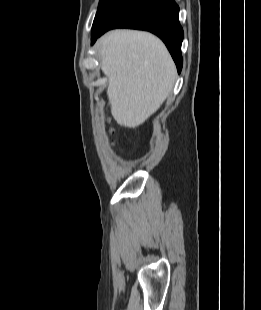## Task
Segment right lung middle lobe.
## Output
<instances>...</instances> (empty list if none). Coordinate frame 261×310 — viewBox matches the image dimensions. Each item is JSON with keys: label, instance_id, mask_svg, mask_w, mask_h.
<instances>
[{"label": "right lung middle lobe", "instance_id": "obj_1", "mask_svg": "<svg viewBox=\"0 0 261 310\" xmlns=\"http://www.w3.org/2000/svg\"><path fill=\"white\" fill-rule=\"evenodd\" d=\"M129 0H100L92 29L103 25L117 10Z\"/></svg>", "mask_w": 261, "mask_h": 310}]
</instances>
